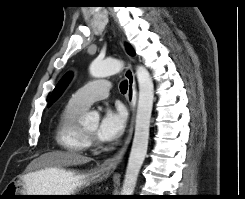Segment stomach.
Wrapping results in <instances>:
<instances>
[{"mask_svg":"<svg viewBox=\"0 0 245 199\" xmlns=\"http://www.w3.org/2000/svg\"><path fill=\"white\" fill-rule=\"evenodd\" d=\"M108 175L109 173L103 171L86 173L73 169L46 168L10 182L5 191L8 190L7 193L16 199H30V197L15 195H76L74 193L80 188L98 178H107Z\"/></svg>","mask_w":245,"mask_h":199,"instance_id":"stomach-1","label":"stomach"}]
</instances>
